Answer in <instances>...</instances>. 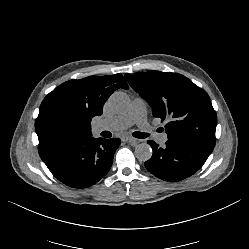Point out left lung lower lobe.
<instances>
[{
  "mask_svg": "<svg viewBox=\"0 0 249 249\" xmlns=\"http://www.w3.org/2000/svg\"><path fill=\"white\" fill-rule=\"evenodd\" d=\"M152 157L145 162L146 169L156 177L169 181H181L197 172L213 150L191 141L168 139L166 146L159 147L149 140Z\"/></svg>",
  "mask_w": 249,
  "mask_h": 249,
  "instance_id": "left-lung-lower-lobe-1",
  "label": "left lung lower lobe"
}]
</instances>
